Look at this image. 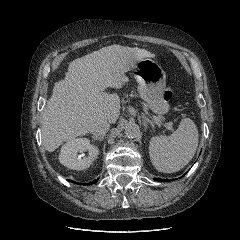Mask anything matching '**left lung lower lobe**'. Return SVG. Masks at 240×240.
I'll return each instance as SVG.
<instances>
[{
	"instance_id": "left-lung-lower-lobe-1",
	"label": "left lung lower lobe",
	"mask_w": 240,
	"mask_h": 240,
	"mask_svg": "<svg viewBox=\"0 0 240 240\" xmlns=\"http://www.w3.org/2000/svg\"><path fill=\"white\" fill-rule=\"evenodd\" d=\"M156 181H158V182H169V181H173L174 179H161V178H157V179H155Z\"/></svg>"
}]
</instances>
